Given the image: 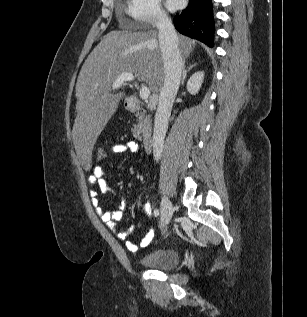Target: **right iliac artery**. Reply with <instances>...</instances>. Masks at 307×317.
<instances>
[{"instance_id": "obj_1", "label": "right iliac artery", "mask_w": 307, "mask_h": 317, "mask_svg": "<svg viewBox=\"0 0 307 317\" xmlns=\"http://www.w3.org/2000/svg\"><path fill=\"white\" fill-rule=\"evenodd\" d=\"M154 215H155V216H158V215H159V210H158V209H155V210H154Z\"/></svg>"}]
</instances>
